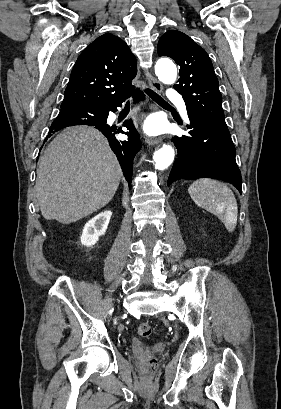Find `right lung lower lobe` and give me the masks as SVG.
<instances>
[{"label": "right lung lower lobe", "instance_id": "right-lung-lower-lobe-1", "mask_svg": "<svg viewBox=\"0 0 281 409\" xmlns=\"http://www.w3.org/2000/svg\"><path fill=\"white\" fill-rule=\"evenodd\" d=\"M132 96L135 100L144 99V94L141 91H136ZM122 102L123 101H119L94 107H61L58 116L86 118L89 120V123L86 125L95 126L96 129L102 132L108 139L111 149L120 162L124 176L129 186H131L133 158L136 152L141 148L139 135L131 120H126L122 125L107 124L109 112H116L117 107L122 106ZM122 127L129 129V132L123 131ZM58 129H50L48 137ZM119 133L128 135V140L118 139L117 135Z\"/></svg>", "mask_w": 281, "mask_h": 409}]
</instances>
